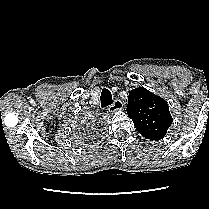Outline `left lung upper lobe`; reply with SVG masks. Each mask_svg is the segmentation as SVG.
I'll return each mask as SVG.
<instances>
[{"label": "left lung upper lobe", "instance_id": "5c2ea615", "mask_svg": "<svg viewBox=\"0 0 209 209\" xmlns=\"http://www.w3.org/2000/svg\"><path fill=\"white\" fill-rule=\"evenodd\" d=\"M127 114L137 131L150 140H160L173 122L167 102L143 87L129 92Z\"/></svg>", "mask_w": 209, "mask_h": 209}]
</instances>
